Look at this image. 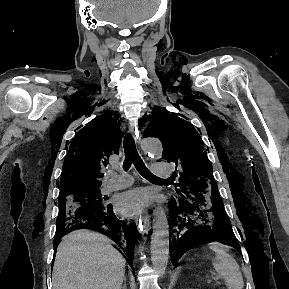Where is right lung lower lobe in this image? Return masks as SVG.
I'll use <instances>...</instances> for the list:
<instances>
[{
	"label": "right lung lower lobe",
	"instance_id": "98d812e1",
	"mask_svg": "<svg viewBox=\"0 0 289 289\" xmlns=\"http://www.w3.org/2000/svg\"><path fill=\"white\" fill-rule=\"evenodd\" d=\"M78 229H91L108 236L118 245V251L133 267V251L134 245L137 243L138 231L135 226L127 225L119 220L114 214L111 204L96 213L73 219L67 226L58 229L54 238V249H57L61 237Z\"/></svg>",
	"mask_w": 289,
	"mask_h": 289
}]
</instances>
